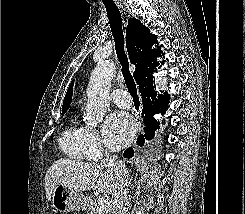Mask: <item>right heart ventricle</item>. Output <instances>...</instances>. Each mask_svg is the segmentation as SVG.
I'll return each mask as SVG.
<instances>
[{
  "mask_svg": "<svg viewBox=\"0 0 245 214\" xmlns=\"http://www.w3.org/2000/svg\"><path fill=\"white\" fill-rule=\"evenodd\" d=\"M85 127L71 122L62 132L59 138V145L64 154L73 160H82L86 156L85 150Z\"/></svg>",
  "mask_w": 245,
  "mask_h": 214,
  "instance_id": "1",
  "label": "right heart ventricle"
}]
</instances>
